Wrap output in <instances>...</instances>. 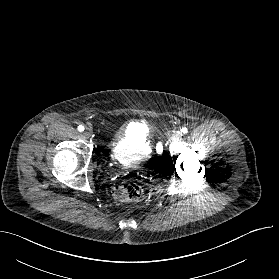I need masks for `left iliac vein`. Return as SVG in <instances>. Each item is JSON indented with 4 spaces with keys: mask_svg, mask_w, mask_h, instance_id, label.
<instances>
[{
    "mask_svg": "<svg viewBox=\"0 0 279 279\" xmlns=\"http://www.w3.org/2000/svg\"><path fill=\"white\" fill-rule=\"evenodd\" d=\"M180 138H181V133L178 131L172 136V142L176 143L180 140Z\"/></svg>",
    "mask_w": 279,
    "mask_h": 279,
    "instance_id": "4c4485c4",
    "label": "left iliac vein"
}]
</instances>
